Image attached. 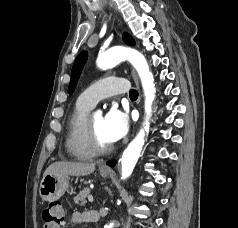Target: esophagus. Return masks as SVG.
<instances>
[{"mask_svg": "<svg viewBox=\"0 0 238 228\" xmlns=\"http://www.w3.org/2000/svg\"><path fill=\"white\" fill-rule=\"evenodd\" d=\"M132 76H133V79H134L138 89H140L139 80H138V77H137L136 73L134 72V70H132ZM105 169L110 170L109 168H105Z\"/></svg>", "mask_w": 238, "mask_h": 228, "instance_id": "1", "label": "esophagus"}]
</instances>
